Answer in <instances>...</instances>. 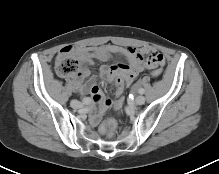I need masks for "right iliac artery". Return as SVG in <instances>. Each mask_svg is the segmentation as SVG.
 <instances>
[{
    "instance_id": "1",
    "label": "right iliac artery",
    "mask_w": 219,
    "mask_h": 174,
    "mask_svg": "<svg viewBox=\"0 0 219 174\" xmlns=\"http://www.w3.org/2000/svg\"><path fill=\"white\" fill-rule=\"evenodd\" d=\"M90 99L89 98H84L83 100H82V102H83V104H89L90 103Z\"/></svg>"
}]
</instances>
